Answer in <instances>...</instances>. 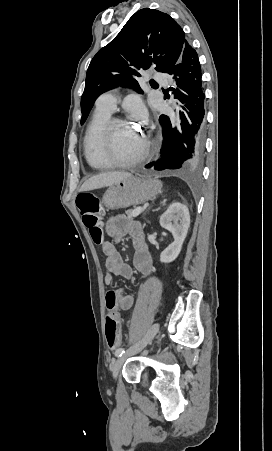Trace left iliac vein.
Instances as JSON below:
<instances>
[{"instance_id": "4c4485c4", "label": "left iliac vein", "mask_w": 272, "mask_h": 451, "mask_svg": "<svg viewBox=\"0 0 272 451\" xmlns=\"http://www.w3.org/2000/svg\"><path fill=\"white\" fill-rule=\"evenodd\" d=\"M159 332V324L154 323L148 332L146 333L145 337L142 339V341L135 346L134 348L128 350L125 354H123L121 357H119L115 362H113L111 370L113 372L114 378L118 376V373L120 372L122 365L127 357L134 355L138 353L140 350H142L145 346L150 344L153 340V338L156 336V334Z\"/></svg>"}]
</instances>
